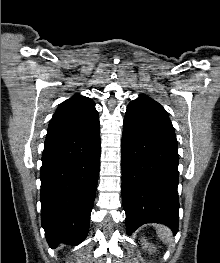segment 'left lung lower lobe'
I'll use <instances>...</instances> for the list:
<instances>
[{
	"label": "left lung lower lobe",
	"mask_w": 220,
	"mask_h": 263,
	"mask_svg": "<svg viewBox=\"0 0 220 263\" xmlns=\"http://www.w3.org/2000/svg\"><path fill=\"white\" fill-rule=\"evenodd\" d=\"M178 147L171 139L124 120L122 201L127 233L145 223L178 231Z\"/></svg>",
	"instance_id": "1"
}]
</instances>
